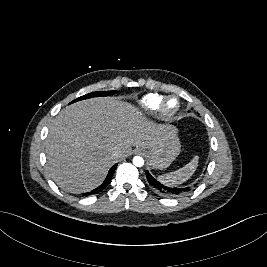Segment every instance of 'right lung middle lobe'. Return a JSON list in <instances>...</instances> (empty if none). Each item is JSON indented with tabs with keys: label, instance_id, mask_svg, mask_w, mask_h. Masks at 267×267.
<instances>
[{
	"label": "right lung middle lobe",
	"instance_id": "dd1d6c3e",
	"mask_svg": "<svg viewBox=\"0 0 267 267\" xmlns=\"http://www.w3.org/2000/svg\"><path fill=\"white\" fill-rule=\"evenodd\" d=\"M116 92L117 91H97V92H93V93H89V94H86L84 96H81V97L75 99L74 101H72L71 103H74L76 101H80L83 99L92 98V97L109 96V95L115 94Z\"/></svg>",
	"mask_w": 267,
	"mask_h": 267
}]
</instances>
